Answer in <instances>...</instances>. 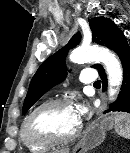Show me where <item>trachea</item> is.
Instances as JSON below:
<instances>
[{
	"mask_svg": "<svg viewBox=\"0 0 130 153\" xmlns=\"http://www.w3.org/2000/svg\"><path fill=\"white\" fill-rule=\"evenodd\" d=\"M94 86H100V80L96 81V82L94 83Z\"/></svg>",
	"mask_w": 130,
	"mask_h": 153,
	"instance_id": "3493384b",
	"label": "trachea"
}]
</instances>
